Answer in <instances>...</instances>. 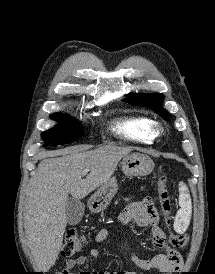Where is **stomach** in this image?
<instances>
[{
  "instance_id": "0dacf381",
  "label": "stomach",
  "mask_w": 215,
  "mask_h": 274,
  "mask_svg": "<svg viewBox=\"0 0 215 274\" xmlns=\"http://www.w3.org/2000/svg\"><path fill=\"white\" fill-rule=\"evenodd\" d=\"M123 173L128 177L146 176L154 169L152 159L144 154L133 153L125 156L121 161ZM118 191V184L115 177L103 184L91 197L89 207L93 212L102 211L107 207Z\"/></svg>"
}]
</instances>
